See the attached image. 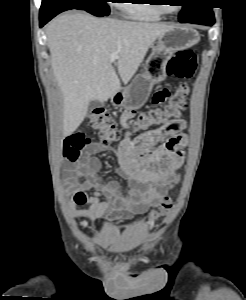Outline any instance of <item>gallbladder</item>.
Here are the masks:
<instances>
[{"instance_id":"obj_1","label":"gallbladder","mask_w":246,"mask_h":300,"mask_svg":"<svg viewBox=\"0 0 246 300\" xmlns=\"http://www.w3.org/2000/svg\"><path fill=\"white\" fill-rule=\"evenodd\" d=\"M101 106H103V102H100L98 100H92V101H90V103L88 105V109H89V111H93Z\"/></svg>"}]
</instances>
